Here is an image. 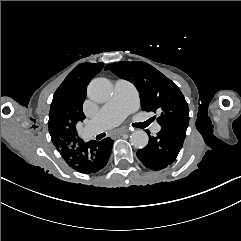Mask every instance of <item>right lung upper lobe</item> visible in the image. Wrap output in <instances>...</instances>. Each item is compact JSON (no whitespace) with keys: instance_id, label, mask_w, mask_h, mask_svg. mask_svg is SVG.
I'll return each instance as SVG.
<instances>
[{"instance_id":"right-lung-upper-lobe-1","label":"right lung upper lobe","mask_w":241,"mask_h":241,"mask_svg":"<svg viewBox=\"0 0 241 241\" xmlns=\"http://www.w3.org/2000/svg\"><path fill=\"white\" fill-rule=\"evenodd\" d=\"M85 97L86 90L75 93L65 109L58 107L52 101L48 128L55 147L59 148L80 139L77 137L76 125L85 119L82 110Z\"/></svg>"}]
</instances>
